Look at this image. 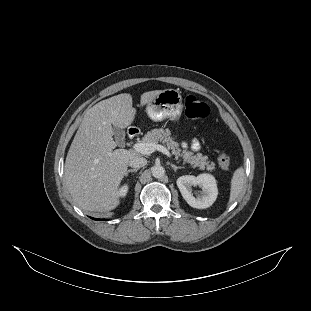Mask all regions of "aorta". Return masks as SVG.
<instances>
[{
  "label": "aorta",
  "instance_id": "762f6f07",
  "mask_svg": "<svg viewBox=\"0 0 311 311\" xmlns=\"http://www.w3.org/2000/svg\"><path fill=\"white\" fill-rule=\"evenodd\" d=\"M152 176L154 178H162L165 175V169L161 165H155L151 168Z\"/></svg>",
  "mask_w": 311,
  "mask_h": 311
}]
</instances>
